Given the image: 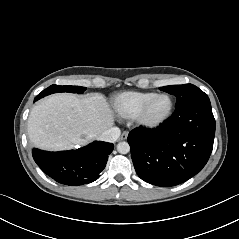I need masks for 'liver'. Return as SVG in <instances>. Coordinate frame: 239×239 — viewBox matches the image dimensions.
Instances as JSON below:
<instances>
[{"instance_id":"liver-1","label":"liver","mask_w":239,"mask_h":239,"mask_svg":"<svg viewBox=\"0 0 239 239\" xmlns=\"http://www.w3.org/2000/svg\"><path fill=\"white\" fill-rule=\"evenodd\" d=\"M114 124V113L100 93L51 95L36 104L28 135L36 147L62 150L84 145Z\"/></svg>"}]
</instances>
